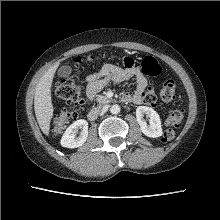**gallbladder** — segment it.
Wrapping results in <instances>:
<instances>
[{"label":"gallbladder","mask_w":220,"mask_h":220,"mask_svg":"<svg viewBox=\"0 0 220 220\" xmlns=\"http://www.w3.org/2000/svg\"><path fill=\"white\" fill-rule=\"evenodd\" d=\"M72 72V68L69 65H63L58 70L59 77H69Z\"/></svg>","instance_id":"1"}]
</instances>
